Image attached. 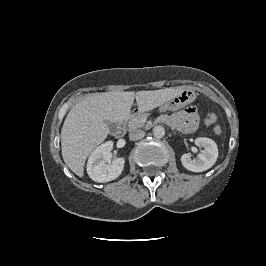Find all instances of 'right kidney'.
I'll use <instances>...</instances> for the list:
<instances>
[{"label":"right kidney","mask_w":266,"mask_h":266,"mask_svg":"<svg viewBox=\"0 0 266 266\" xmlns=\"http://www.w3.org/2000/svg\"><path fill=\"white\" fill-rule=\"evenodd\" d=\"M113 142L108 141L98 146L89 156L87 173L89 177L99 183L109 182L116 179L123 171L124 158L108 159Z\"/></svg>","instance_id":"right-kidney-1"}]
</instances>
